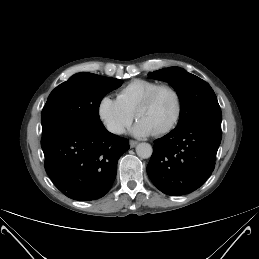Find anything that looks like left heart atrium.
I'll return each instance as SVG.
<instances>
[{
  "label": "left heart atrium",
  "instance_id": "39dd6f15",
  "mask_svg": "<svg viewBox=\"0 0 259 259\" xmlns=\"http://www.w3.org/2000/svg\"><path fill=\"white\" fill-rule=\"evenodd\" d=\"M134 132L139 136H147L152 133L150 128L143 122H138L134 127Z\"/></svg>",
  "mask_w": 259,
  "mask_h": 259
}]
</instances>
